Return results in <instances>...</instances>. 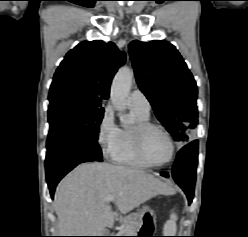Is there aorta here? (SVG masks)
Here are the masks:
<instances>
[{
  "instance_id": "762f6f07",
  "label": "aorta",
  "mask_w": 248,
  "mask_h": 237,
  "mask_svg": "<svg viewBox=\"0 0 248 237\" xmlns=\"http://www.w3.org/2000/svg\"><path fill=\"white\" fill-rule=\"evenodd\" d=\"M133 71L127 67H121L113 78L110 99L114 108L121 113L120 120L123 124H129L131 119L123 112L127 108V97L132 85Z\"/></svg>"
}]
</instances>
